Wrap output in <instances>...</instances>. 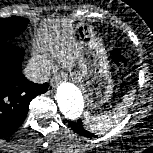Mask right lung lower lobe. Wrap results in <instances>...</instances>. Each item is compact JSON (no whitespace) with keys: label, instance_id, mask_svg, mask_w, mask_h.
<instances>
[{"label":"right lung lower lobe","instance_id":"98d812e1","mask_svg":"<svg viewBox=\"0 0 153 153\" xmlns=\"http://www.w3.org/2000/svg\"><path fill=\"white\" fill-rule=\"evenodd\" d=\"M24 51L9 41H0V139L14 132L25 120L29 104L48 90L22 74Z\"/></svg>","mask_w":153,"mask_h":153}]
</instances>
